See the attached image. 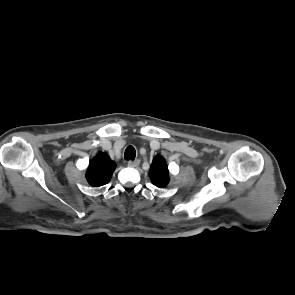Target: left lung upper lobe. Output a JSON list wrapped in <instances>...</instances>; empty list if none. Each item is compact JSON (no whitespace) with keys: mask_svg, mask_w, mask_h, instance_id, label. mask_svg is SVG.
<instances>
[{"mask_svg":"<svg viewBox=\"0 0 295 295\" xmlns=\"http://www.w3.org/2000/svg\"><path fill=\"white\" fill-rule=\"evenodd\" d=\"M149 176L157 187H165L169 183V171L166 160L162 156H155L150 167Z\"/></svg>","mask_w":295,"mask_h":295,"instance_id":"1","label":"left lung upper lobe"}]
</instances>
